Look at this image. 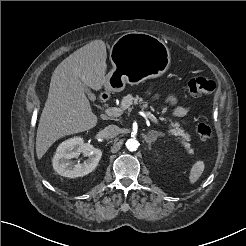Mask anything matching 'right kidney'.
Wrapping results in <instances>:
<instances>
[{"mask_svg": "<svg viewBox=\"0 0 246 246\" xmlns=\"http://www.w3.org/2000/svg\"><path fill=\"white\" fill-rule=\"evenodd\" d=\"M81 153L88 157L82 163L74 164L70 161L72 158H78ZM101 156L102 151L89 143H84L83 138H69L58 146L52 159L53 169L64 177H83L96 168Z\"/></svg>", "mask_w": 246, "mask_h": 246, "instance_id": "obj_1", "label": "right kidney"}]
</instances>
